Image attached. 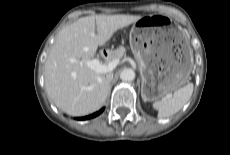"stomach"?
<instances>
[{
	"instance_id": "stomach-1",
	"label": "stomach",
	"mask_w": 230,
	"mask_h": 155,
	"mask_svg": "<svg viewBox=\"0 0 230 155\" xmlns=\"http://www.w3.org/2000/svg\"><path fill=\"white\" fill-rule=\"evenodd\" d=\"M129 41L139 65L145 101H159L188 82L193 50L184 30L171 18L141 17L133 23Z\"/></svg>"
}]
</instances>
